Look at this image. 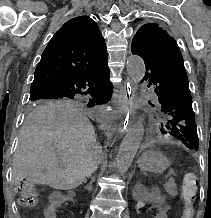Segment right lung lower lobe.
<instances>
[{
  "instance_id": "obj_1",
  "label": "right lung lower lobe",
  "mask_w": 211,
  "mask_h": 218,
  "mask_svg": "<svg viewBox=\"0 0 211 218\" xmlns=\"http://www.w3.org/2000/svg\"><path fill=\"white\" fill-rule=\"evenodd\" d=\"M108 60L92 67L77 77L59 81L38 92L36 97H76L77 94H88L91 98H111L112 84L109 79ZM86 90V91H84Z\"/></svg>"
}]
</instances>
